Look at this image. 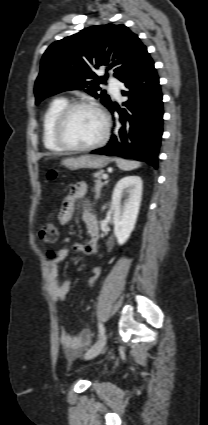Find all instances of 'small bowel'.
<instances>
[{
    "instance_id": "1",
    "label": "small bowel",
    "mask_w": 208,
    "mask_h": 425,
    "mask_svg": "<svg viewBox=\"0 0 208 425\" xmlns=\"http://www.w3.org/2000/svg\"><path fill=\"white\" fill-rule=\"evenodd\" d=\"M87 194V184L78 182L71 187L70 193L64 199L59 221L66 224L71 221L76 203L85 198ZM81 219L87 227L89 241L86 243H75L70 248H61L56 252L55 257L48 262L47 275L49 280V292L52 298L58 302H63L70 290L69 281H60L59 265L67 257L74 254L85 256L93 255L97 251V241L99 239V226L95 214L88 203L84 202L81 209ZM60 342L64 353L68 358H75L90 343V334L87 330L78 335H71L65 329L60 335Z\"/></svg>"
}]
</instances>
